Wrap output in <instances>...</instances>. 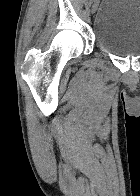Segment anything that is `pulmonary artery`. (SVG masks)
<instances>
[{
  "label": "pulmonary artery",
  "mask_w": 140,
  "mask_h": 196,
  "mask_svg": "<svg viewBox=\"0 0 140 196\" xmlns=\"http://www.w3.org/2000/svg\"><path fill=\"white\" fill-rule=\"evenodd\" d=\"M64 192H85V191H64Z\"/></svg>",
  "instance_id": "1"
}]
</instances>
